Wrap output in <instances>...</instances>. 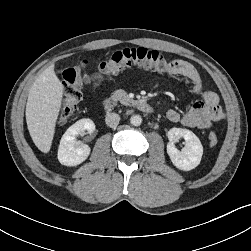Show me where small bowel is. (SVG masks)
<instances>
[{
  "mask_svg": "<svg viewBox=\"0 0 251 251\" xmlns=\"http://www.w3.org/2000/svg\"><path fill=\"white\" fill-rule=\"evenodd\" d=\"M171 76H183L191 81L192 91L202 96L201 100L194 102L185 112L169 109L166 117L171 122H180L186 127L209 129L213 122L223 118V112L219 106L217 94L204 89L203 81L197 69L189 62L184 60H174L167 71ZM101 79V76L93 78L92 87Z\"/></svg>",
  "mask_w": 251,
  "mask_h": 251,
  "instance_id": "c3829d8e",
  "label": "small bowel"
}]
</instances>
